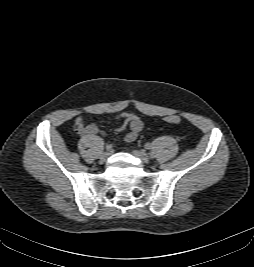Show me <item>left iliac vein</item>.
<instances>
[{"label": "left iliac vein", "instance_id": "obj_1", "mask_svg": "<svg viewBox=\"0 0 254 267\" xmlns=\"http://www.w3.org/2000/svg\"><path fill=\"white\" fill-rule=\"evenodd\" d=\"M133 154L139 158L143 163H149L150 158L149 156L142 150H134Z\"/></svg>", "mask_w": 254, "mask_h": 267}]
</instances>
